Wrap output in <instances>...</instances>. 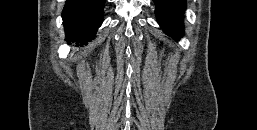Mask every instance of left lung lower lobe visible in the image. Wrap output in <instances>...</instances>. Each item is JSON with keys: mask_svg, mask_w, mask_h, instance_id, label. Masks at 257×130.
I'll use <instances>...</instances> for the list:
<instances>
[{"mask_svg": "<svg viewBox=\"0 0 257 130\" xmlns=\"http://www.w3.org/2000/svg\"><path fill=\"white\" fill-rule=\"evenodd\" d=\"M155 14L159 25L168 35L175 39L183 35V15L186 9V0H153Z\"/></svg>", "mask_w": 257, "mask_h": 130, "instance_id": "obj_1", "label": "left lung lower lobe"}]
</instances>
